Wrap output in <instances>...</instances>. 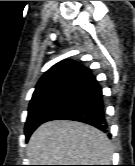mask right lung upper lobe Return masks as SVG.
<instances>
[{
  "mask_svg": "<svg viewBox=\"0 0 135 166\" xmlns=\"http://www.w3.org/2000/svg\"><path fill=\"white\" fill-rule=\"evenodd\" d=\"M91 74L90 69L80 63L66 59L51 67L39 80L33 93L32 101L57 90L76 83Z\"/></svg>",
  "mask_w": 135,
  "mask_h": 166,
  "instance_id": "obj_1",
  "label": "right lung upper lobe"
}]
</instances>
